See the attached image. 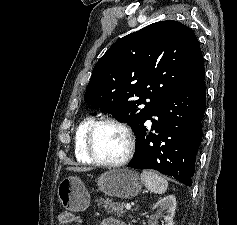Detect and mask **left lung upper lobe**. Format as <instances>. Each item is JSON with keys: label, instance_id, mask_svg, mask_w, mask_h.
<instances>
[{"label": "left lung upper lobe", "instance_id": "obj_1", "mask_svg": "<svg viewBox=\"0 0 237 225\" xmlns=\"http://www.w3.org/2000/svg\"><path fill=\"white\" fill-rule=\"evenodd\" d=\"M203 81L195 34L167 20L118 39L94 66L84 100L135 131L162 98Z\"/></svg>", "mask_w": 237, "mask_h": 225}]
</instances>
